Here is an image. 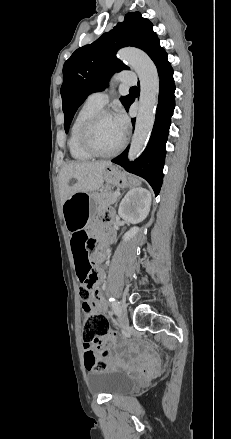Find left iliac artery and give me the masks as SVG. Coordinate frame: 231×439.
<instances>
[{"instance_id":"44dca946","label":"left iliac artery","mask_w":231,"mask_h":439,"mask_svg":"<svg viewBox=\"0 0 231 439\" xmlns=\"http://www.w3.org/2000/svg\"><path fill=\"white\" fill-rule=\"evenodd\" d=\"M109 301L111 302L112 308L114 309V311L116 312L119 308V302L114 298V297H109Z\"/></svg>"}]
</instances>
